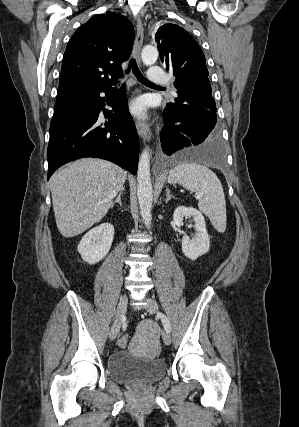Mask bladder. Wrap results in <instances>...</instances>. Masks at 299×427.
I'll return each instance as SVG.
<instances>
[{
    "label": "bladder",
    "mask_w": 299,
    "mask_h": 427,
    "mask_svg": "<svg viewBox=\"0 0 299 427\" xmlns=\"http://www.w3.org/2000/svg\"><path fill=\"white\" fill-rule=\"evenodd\" d=\"M166 370L160 358H141L123 350L113 353L107 363L109 377L121 383H151L162 378Z\"/></svg>",
    "instance_id": "obj_1"
}]
</instances>
